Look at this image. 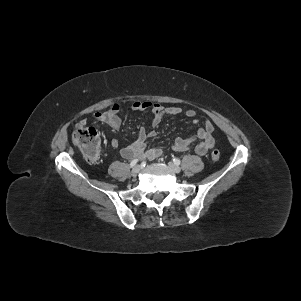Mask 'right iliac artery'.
Masks as SVG:
<instances>
[{
  "label": "right iliac artery",
  "instance_id": "1",
  "mask_svg": "<svg viewBox=\"0 0 301 301\" xmlns=\"http://www.w3.org/2000/svg\"><path fill=\"white\" fill-rule=\"evenodd\" d=\"M137 162H138V159L132 160L131 163H130V167L131 168L134 167L137 164Z\"/></svg>",
  "mask_w": 301,
  "mask_h": 301
}]
</instances>
